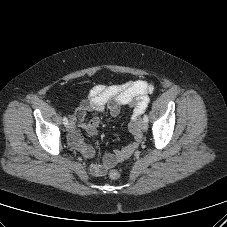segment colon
<instances>
[{
  "label": "colon",
  "instance_id": "colon-1",
  "mask_svg": "<svg viewBox=\"0 0 227 227\" xmlns=\"http://www.w3.org/2000/svg\"><path fill=\"white\" fill-rule=\"evenodd\" d=\"M109 177L113 180H117L120 178V172L116 169H113L109 172Z\"/></svg>",
  "mask_w": 227,
  "mask_h": 227
}]
</instances>
